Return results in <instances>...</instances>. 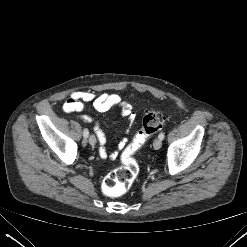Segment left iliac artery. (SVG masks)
Returning <instances> with one entry per match:
<instances>
[{"instance_id": "left-iliac-artery-1", "label": "left iliac artery", "mask_w": 247, "mask_h": 247, "mask_svg": "<svg viewBox=\"0 0 247 247\" xmlns=\"http://www.w3.org/2000/svg\"><path fill=\"white\" fill-rule=\"evenodd\" d=\"M161 140H163L164 139V137H165V133L164 132H161L160 134H159V136H158Z\"/></svg>"}]
</instances>
